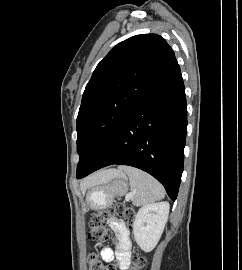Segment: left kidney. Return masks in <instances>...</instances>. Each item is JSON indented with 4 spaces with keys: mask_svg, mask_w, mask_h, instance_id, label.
<instances>
[{
    "mask_svg": "<svg viewBox=\"0 0 242 270\" xmlns=\"http://www.w3.org/2000/svg\"><path fill=\"white\" fill-rule=\"evenodd\" d=\"M169 203L159 202L141 207L133 223V234L139 247L151 252L157 245L169 214Z\"/></svg>",
    "mask_w": 242,
    "mask_h": 270,
    "instance_id": "5707ae66",
    "label": "left kidney"
}]
</instances>
